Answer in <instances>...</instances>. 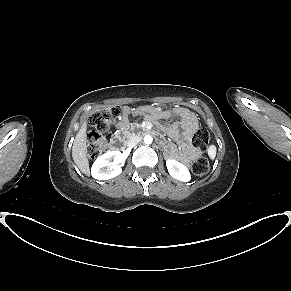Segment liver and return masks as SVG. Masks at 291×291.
<instances>
[{"label":"liver","instance_id":"liver-1","mask_svg":"<svg viewBox=\"0 0 291 291\" xmlns=\"http://www.w3.org/2000/svg\"><path fill=\"white\" fill-rule=\"evenodd\" d=\"M86 128L87 124L83 123L79 132L77 133L73 146H72V157L82 173L89 176L90 167L87 158V145H86Z\"/></svg>","mask_w":291,"mask_h":291}]
</instances>
